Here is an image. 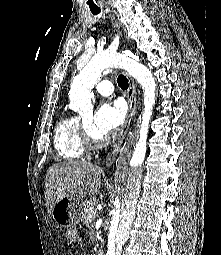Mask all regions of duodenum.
<instances>
[{
	"instance_id": "1",
	"label": "duodenum",
	"mask_w": 221,
	"mask_h": 255,
	"mask_svg": "<svg viewBox=\"0 0 221 255\" xmlns=\"http://www.w3.org/2000/svg\"><path fill=\"white\" fill-rule=\"evenodd\" d=\"M95 255H103L100 251L96 252Z\"/></svg>"
}]
</instances>
